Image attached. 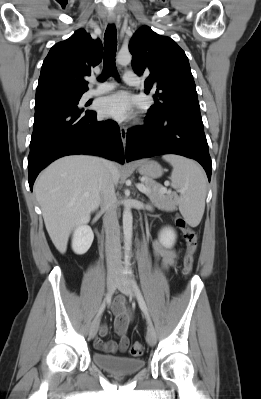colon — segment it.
I'll list each match as a JSON object with an SVG mask.
<instances>
[{"label": "colon", "instance_id": "colon-1", "mask_svg": "<svg viewBox=\"0 0 261 399\" xmlns=\"http://www.w3.org/2000/svg\"><path fill=\"white\" fill-rule=\"evenodd\" d=\"M176 223L184 230V239L186 241V252L183 257V273L189 275L193 268L194 254L198 246V234L197 232L186 225L182 218L177 217ZM144 352V345L141 342H135L130 347V353L132 356H140Z\"/></svg>", "mask_w": 261, "mask_h": 399}]
</instances>
